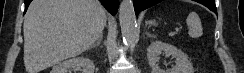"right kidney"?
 <instances>
[{
	"instance_id": "obj_1",
	"label": "right kidney",
	"mask_w": 244,
	"mask_h": 73,
	"mask_svg": "<svg viewBox=\"0 0 244 73\" xmlns=\"http://www.w3.org/2000/svg\"><path fill=\"white\" fill-rule=\"evenodd\" d=\"M95 65L92 60L85 57H76L55 65L51 73H68L81 70L82 73H94Z\"/></svg>"
}]
</instances>
